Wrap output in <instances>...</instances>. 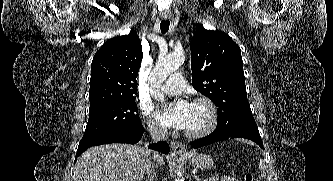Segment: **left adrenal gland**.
Wrapping results in <instances>:
<instances>
[{
	"label": "left adrenal gland",
	"mask_w": 333,
	"mask_h": 181,
	"mask_svg": "<svg viewBox=\"0 0 333 181\" xmlns=\"http://www.w3.org/2000/svg\"><path fill=\"white\" fill-rule=\"evenodd\" d=\"M193 177H194L195 181H205V180H202L201 178H199V176H197V175H194Z\"/></svg>",
	"instance_id": "left-adrenal-gland-1"
}]
</instances>
